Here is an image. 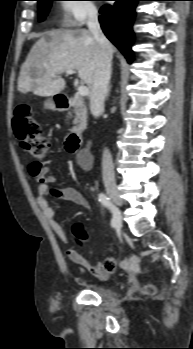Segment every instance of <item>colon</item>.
Listing matches in <instances>:
<instances>
[{
    "instance_id": "colon-1",
    "label": "colon",
    "mask_w": 193,
    "mask_h": 349,
    "mask_svg": "<svg viewBox=\"0 0 193 349\" xmlns=\"http://www.w3.org/2000/svg\"><path fill=\"white\" fill-rule=\"evenodd\" d=\"M13 129L20 146L35 159L40 160L50 152V141L43 135L40 123L32 114L28 106H20L13 117ZM79 239L85 238V231L81 226L74 229ZM154 292L153 287L147 289Z\"/></svg>"
}]
</instances>
